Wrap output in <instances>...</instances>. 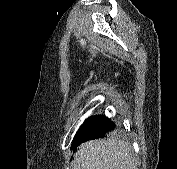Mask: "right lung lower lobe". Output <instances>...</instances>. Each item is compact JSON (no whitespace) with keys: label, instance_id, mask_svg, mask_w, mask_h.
<instances>
[{"label":"right lung lower lobe","instance_id":"1","mask_svg":"<svg viewBox=\"0 0 177 169\" xmlns=\"http://www.w3.org/2000/svg\"><path fill=\"white\" fill-rule=\"evenodd\" d=\"M115 128L113 122H111L104 115H96L87 119L84 124L79 128L76 133L72 148H76L80 143L88 141L90 139L102 138L108 131Z\"/></svg>","mask_w":177,"mask_h":169}]
</instances>
